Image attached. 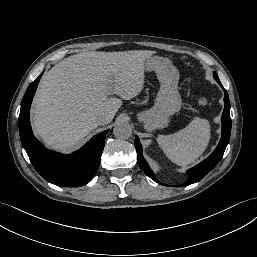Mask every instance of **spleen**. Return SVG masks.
Returning a JSON list of instances; mask_svg holds the SVG:
<instances>
[{
  "label": "spleen",
  "mask_w": 257,
  "mask_h": 257,
  "mask_svg": "<svg viewBox=\"0 0 257 257\" xmlns=\"http://www.w3.org/2000/svg\"><path fill=\"white\" fill-rule=\"evenodd\" d=\"M210 138L209 121L195 117L182 130L170 135H160L158 143L173 163L186 166L194 163L204 153Z\"/></svg>",
  "instance_id": "1"
}]
</instances>
